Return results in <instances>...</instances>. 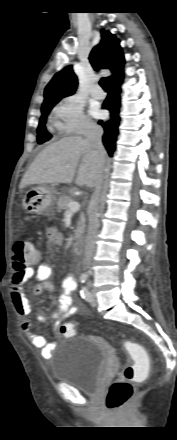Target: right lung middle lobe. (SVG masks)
Wrapping results in <instances>:
<instances>
[{"instance_id": "1", "label": "right lung middle lobe", "mask_w": 177, "mask_h": 440, "mask_svg": "<svg viewBox=\"0 0 177 440\" xmlns=\"http://www.w3.org/2000/svg\"><path fill=\"white\" fill-rule=\"evenodd\" d=\"M57 102H49V103H43L41 108V117L39 121V126L37 128V141L39 144L44 143L45 141H48L51 138V135L47 132L45 123H46V117L52 110V108L55 106Z\"/></svg>"}]
</instances>
